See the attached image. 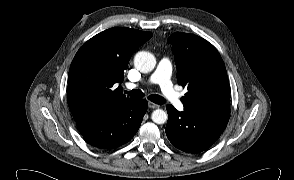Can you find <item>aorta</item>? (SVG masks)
<instances>
[{"label":"aorta","mask_w":294,"mask_h":180,"mask_svg":"<svg viewBox=\"0 0 294 180\" xmlns=\"http://www.w3.org/2000/svg\"><path fill=\"white\" fill-rule=\"evenodd\" d=\"M134 64L142 73H148L155 68L156 58L150 52L140 51L134 57ZM151 118L156 124H164L168 119V115L164 110L156 109L152 112Z\"/></svg>","instance_id":"aorta-1"}]
</instances>
